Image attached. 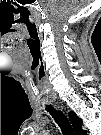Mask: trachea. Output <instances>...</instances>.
Listing matches in <instances>:
<instances>
[{"instance_id":"obj_1","label":"trachea","mask_w":101,"mask_h":135,"mask_svg":"<svg viewBox=\"0 0 101 135\" xmlns=\"http://www.w3.org/2000/svg\"><path fill=\"white\" fill-rule=\"evenodd\" d=\"M48 110L55 118V121L58 123L59 127L61 128L63 135H74L73 128L68 118L62 112L56 111L51 107H48Z\"/></svg>"}]
</instances>
